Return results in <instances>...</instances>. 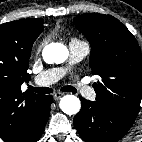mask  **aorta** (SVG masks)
Returning a JSON list of instances; mask_svg holds the SVG:
<instances>
[{"instance_id": "aorta-1", "label": "aorta", "mask_w": 142, "mask_h": 142, "mask_svg": "<svg viewBox=\"0 0 142 142\" xmlns=\"http://www.w3.org/2000/svg\"><path fill=\"white\" fill-rule=\"evenodd\" d=\"M43 59L49 64H59L68 57V49L59 43L47 45L43 50ZM60 108L67 115H75L80 111L81 102L75 95H65L60 100Z\"/></svg>"}]
</instances>
